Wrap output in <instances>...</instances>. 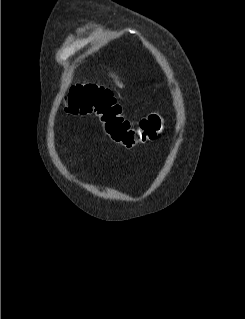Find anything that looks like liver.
Instances as JSON below:
<instances>
[{
  "label": "liver",
  "mask_w": 245,
  "mask_h": 319,
  "mask_svg": "<svg viewBox=\"0 0 245 319\" xmlns=\"http://www.w3.org/2000/svg\"><path fill=\"white\" fill-rule=\"evenodd\" d=\"M111 76H112L113 78H115V83H116V85H117L118 87H120V88H123V87H124V85L118 81V79H117V77H116L115 75H111Z\"/></svg>",
  "instance_id": "1"
}]
</instances>
